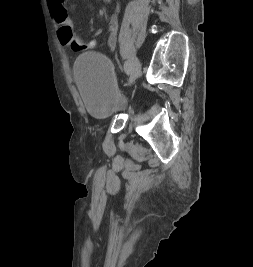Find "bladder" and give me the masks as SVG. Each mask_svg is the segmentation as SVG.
<instances>
[{"label":"bladder","mask_w":253,"mask_h":267,"mask_svg":"<svg viewBox=\"0 0 253 267\" xmlns=\"http://www.w3.org/2000/svg\"><path fill=\"white\" fill-rule=\"evenodd\" d=\"M74 79L89 115L107 120L126 106L118 89L110 60L96 52L78 56L73 67Z\"/></svg>","instance_id":"obj_1"}]
</instances>
